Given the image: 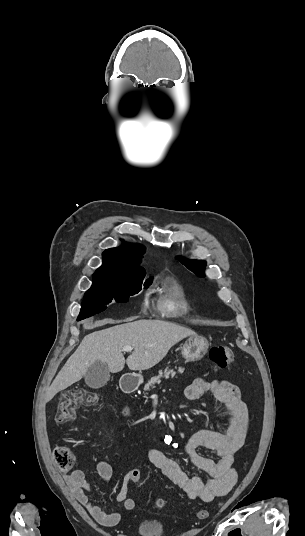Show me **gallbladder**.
Returning <instances> with one entry per match:
<instances>
[{"instance_id":"gallbladder-1","label":"gallbladder","mask_w":305,"mask_h":536,"mask_svg":"<svg viewBox=\"0 0 305 536\" xmlns=\"http://www.w3.org/2000/svg\"><path fill=\"white\" fill-rule=\"evenodd\" d=\"M110 378V372L108 370V364L106 362H95L92 366H89L84 376L85 384L89 388H102L107 384Z\"/></svg>"}]
</instances>
